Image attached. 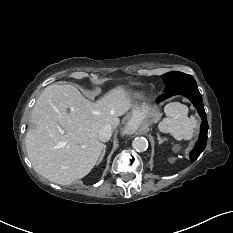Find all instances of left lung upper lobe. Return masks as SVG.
Instances as JSON below:
<instances>
[{"mask_svg": "<svg viewBox=\"0 0 233 233\" xmlns=\"http://www.w3.org/2000/svg\"><path fill=\"white\" fill-rule=\"evenodd\" d=\"M161 77L166 84L165 92L181 84L196 83L191 75L178 71L163 74Z\"/></svg>", "mask_w": 233, "mask_h": 233, "instance_id": "1", "label": "left lung upper lobe"}]
</instances>
